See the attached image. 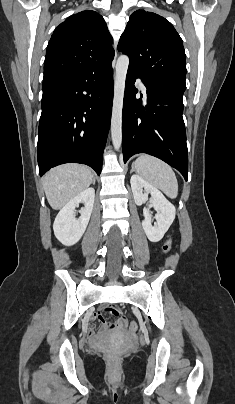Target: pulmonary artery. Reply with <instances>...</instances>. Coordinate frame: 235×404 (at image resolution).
I'll use <instances>...</instances> for the list:
<instances>
[{"label": "pulmonary artery", "mask_w": 235, "mask_h": 404, "mask_svg": "<svg viewBox=\"0 0 235 404\" xmlns=\"http://www.w3.org/2000/svg\"><path fill=\"white\" fill-rule=\"evenodd\" d=\"M137 83H138V86L141 88V90L143 91V93L145 94L146 93V87H145V85H144V83L142 82V80H138L137 81Z\"/></svg>", "instance_id": "obj_1"}]
</instances>
